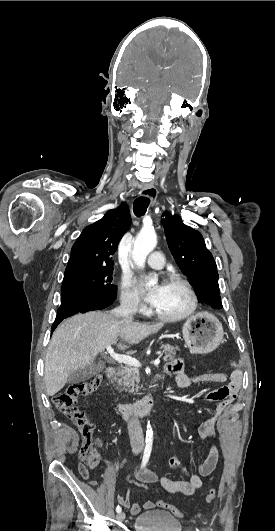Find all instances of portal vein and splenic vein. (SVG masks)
I'll return each instance as SVG.
<instances>
[{
  "label": "portal vein and splenic vein",
  "instance_id": "18ae733b",
  "mask_svg": "<svg viewBox=\"0 0 275 531\" xmlns=\"http://www.w3.org/2000/svg\"><path fill=\"white\" fill-rule=\"evenodd\" d=\"M106 349L107 353H109L111 359H114V361H118V363H125V365H130V367H141L137 359L128 357V355H117V353H114V349H112L111 345H108ZM152 363L153 365H160V359H155V361H152Z\"/></svg>",
  "mask_w": 275,
  "mask_h": 531
}]
</instances>
